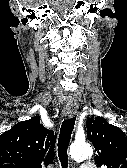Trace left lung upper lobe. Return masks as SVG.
Here are the masks:
<instances>
[{"label": "left lung upper lobe", "mask_w": 127, "mask_h": 168, "mask_svg": "<svg viewBox=\"0 0 127 168\" xmlns=\"http://www.w3.org/2000/svg\"><path fill=\"white\" fill-rule=\"evenodd\" d=\"M87 137L97 152L95 162L99 167L127 168V138L123 131L102 117L86 121Z\"/></svg>", "instance_id": "obj_1"}]
</instances>
